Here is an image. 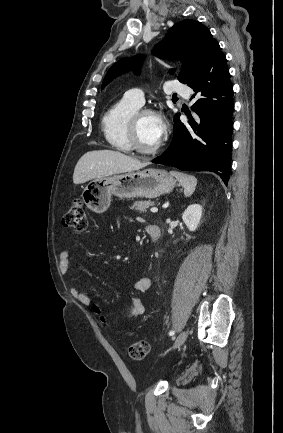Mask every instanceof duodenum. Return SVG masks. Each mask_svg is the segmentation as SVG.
<instances>
[{
  "label": "duodenum",
  "instance_id": "410a0bca",
  "mask_svg": "<svg viewBox=\"0 0 283 433\" xmlns=\"http://www.w3.org/2000/svg\"><path fill=\"white\" fill-rule=\"evenodd\" d=\"M147 232L152 237L154 242H158L160 235H161V230H160V227L158 225L149 226L147 228Z\"/></svg>",
  "mask_w": 283,
  "mask_h": 433
}]
</instances>
